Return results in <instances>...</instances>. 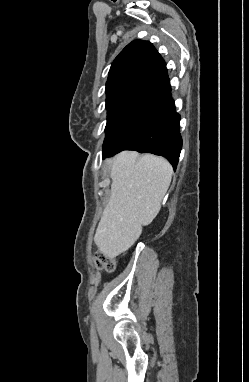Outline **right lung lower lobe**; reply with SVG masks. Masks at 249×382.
<instances>
[{
	"instance_id": "obj_1",
	"label": "right lung lower lobe",
	"mask_w": 249,
	"mask_h": 382,
	"mask_svg": "<svg viewBox=\"0 0 249 382\" xmlns=\"http://www.w3.org/2000/svg\"><path fill=\"white\" fill-rule=\"evenodd\" d=\"M179 121L169 90L121 135L103 145V156L123 150L152 153L167 158L175 170L182 148Z\"/></svg>"
}]
</instances>
